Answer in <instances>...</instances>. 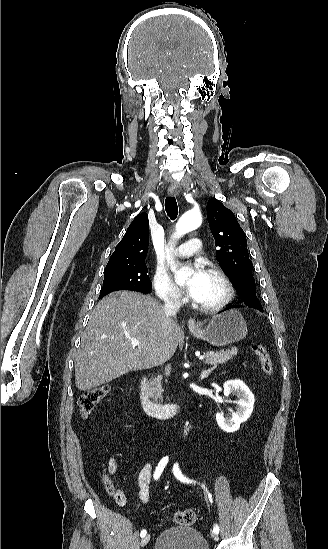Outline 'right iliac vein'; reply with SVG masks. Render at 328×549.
<instances>
[{"label":"right iliac vein","mask_w":328,"mask_h":549,"mask_svg":"<svg viewBox=\"0 0 328 549\" xmlns=\"http://www.w3.org/2000/svg\"><path fill=\"white\" fill-rule=\"evenodd\" d=\"M150 541V534L145 535L141 540V546H146Z\"/></svg>","instance_id":"63e3f726"}]
</instances>
